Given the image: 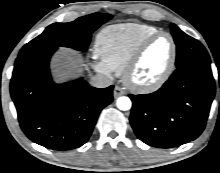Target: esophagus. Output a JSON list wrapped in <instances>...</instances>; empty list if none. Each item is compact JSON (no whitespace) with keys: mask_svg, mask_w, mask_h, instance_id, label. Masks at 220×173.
<instances>
[{"mask_svg":"<svg viewBox=\"0 0 220 173\" xmlns=\"http://www.w3.org/2000/svg\"><path fill=\"white\" fill-rule=\"evenodd\" d=\"M126 92L124 91L123 88L120 86H115L114 91H113V96L114 98H118L119 96L124 95Z\"/></svg>","mask_w":220,"mask_h":173,"instance_id":"34e87169","label":"esophagus"}]
</instances>
